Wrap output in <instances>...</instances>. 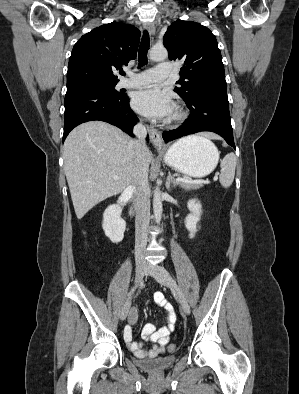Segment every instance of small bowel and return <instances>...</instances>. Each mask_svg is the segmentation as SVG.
Wrapping results in <instances>:
<instances>
[{
	"label": "small bowel",
	"instance_id": "1",
	"mask_svg": "<svg viewBox=\"0 0 299 394\" xmlns=\"http://www.w3.org/2000/svg\"><path fill=\"white\" fill-rule=\"evenodd\" d=\"M153 300L165 310L166 325L158 328L152 323L145 324L142 328L141 335L143 339H150L154 345L150 349H145L141 343L133 340L132 325L138 320L136 309L130 311L128 317L129 325L124 329V339L130 350L138 358H154L163 354L170 335L176 326V312L170 300L160 291L154 293Z\"/></svg>",
	"mask_w": 299,
	"mask_h": 394
}]
</instances>
